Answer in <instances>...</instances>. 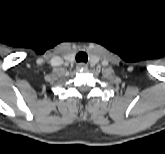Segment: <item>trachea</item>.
<instances>
[{
    "label": "trachea",
    "instance_id": "3493384b",
    "mask_svg": "<svg viewBox=\"0 0 165 154\" xmlns=\"http://www.w3.org/2000/svg\"><path fill=\"white\" fill-rule=\"evenodd\" d=\"M76 61L77 62H87L88 61V56L85 52H79L77 55H76Z\"/></svg>",
    "mask_w": 165,
    "mask_h": 154
}]
</instances>
